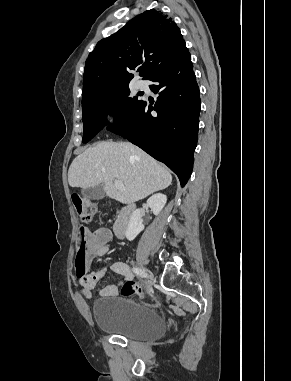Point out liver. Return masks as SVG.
I'll use <instances>...</instances> for the list:
<instances>
[{
  "instance_id": "obj_1",
  "label": "liver",
  "mask_w": 291,
  "mask_h": 381,
  "mask_svg": "<svg viewBox=\"0 0 291 381\" xmlns=\"http://www.w3.org/2000/svg\"><path fill=\"white\" fill-rule=\"evenodd\" d=\"M122 181L124 190L113 184ZM71 187L88 188L102 184L109 198L123 204L142 200L172 183L170 172L139 147L128 142H101L86 149L71 163Z\"/></svg>"
}]
</instances>
